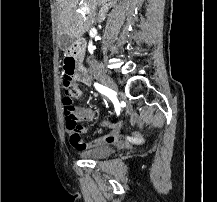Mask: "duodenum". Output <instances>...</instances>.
<instances>
[{
  "mask_svg": "<svg viewBox=\"0 0 217 202\" xmlns=\"http://www.w3.org/2000/svg\"><path fill=\"white\" fill-rule=\"evenodd\" d=\"M83 51V43L77 42L72 48L65 52L63 66L65 72L74 80L89 84V76L82 64Z\"/></svg>",
  "mask_w": 217,
  "mask_h": 202,
  "instance_id": "duodenum-1",
  "label": "duodenum"
}]
</instances>
